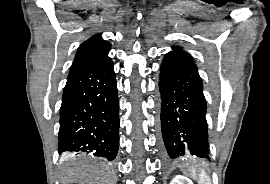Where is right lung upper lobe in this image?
<instances>
[{
  "mask_svg": "<svg viewBox=\"0 0 270 184\" xmlns=\"http://www.w3.org/2000/svg\"><path fill=\"white\" fill-rule=\"evenodd\" d=\"M110 49L111 44L103 40L101 34L90 37L78 48L70 72L110 61L108 57Z\"/></svg>",
  "mask_w": 270,
  "mask_h": 184,
  "instance_id": "cb5924a9",
  "label": "right lung upper lobe"
}]
</instances>
